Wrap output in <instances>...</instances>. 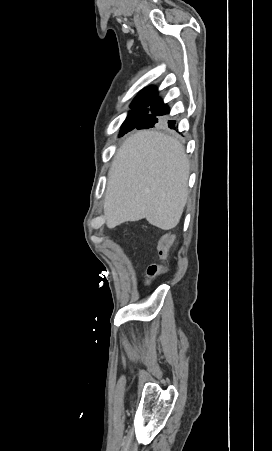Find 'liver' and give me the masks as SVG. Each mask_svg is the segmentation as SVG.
Listing matches in <instances>:
<instances>
[{"mask_svg": "<svg viewBox=\"0 0 272 451\" xmlns=\"http://www.w3.org/2000/svg\"><path fill=\"white\" fill-rule=\"evenodd\" d=\"M189 160L172 136L141 130L115 154L104 200L107 227L146 218L152 226H177L188 198Z\"/></svg>", "mask_w": 272, "mask_h": 451, "instance_id": "6515ba94", "label": "liver"}]
</instances>
